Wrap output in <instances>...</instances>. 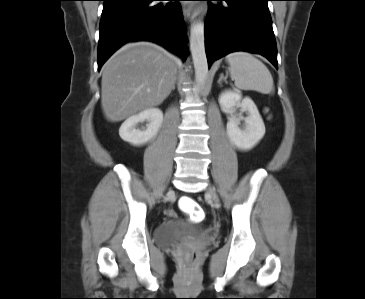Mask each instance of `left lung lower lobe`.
Returning a JSON list of instances; mask_svg holds the SVG:
<instances>
[{
  "mask_svg": "<svg viewBox=\"0 0 365 299\" xmlns=\"http://www.w3.org/2000/svg\"><path fill=\"white\" fill-rule=\"evenodd\" d=\"M212 1V0H207ZM205 20V49L209 67L234 51L258 53L277 65V47L267 2L269 0H216Z\"/></svg>",
  "mask_w": 365,
  "mask_h": 299,
  "instance_id": "left-lung-lower-lobe-1",
  "label": "left lung lower lobe"
}]
</instances>
